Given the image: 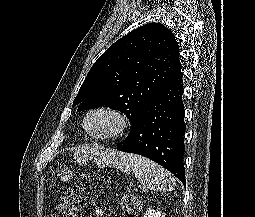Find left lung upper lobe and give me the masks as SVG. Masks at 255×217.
Returning <instances> with one entry per match:
<instances>
[{"label": "left lung upper lobe", "instance_id": "5c2ea615", "mask_svg": "<svg viewBox=\"0 0 255 217\" xmlns=\"http://www.w3.org/2000/svg\"><path fill=\"white\" fill-rule=\"evenodd\" d=\"M179 70V45L173 33L161 23L145 24L98 58L73 107L86 110L106 105L125 113L132 128Z\"/></svg>", "mask_w": 255, "mask_h": 217}]
</instances>
